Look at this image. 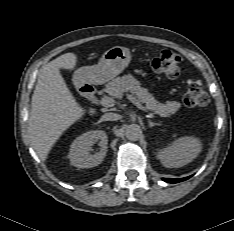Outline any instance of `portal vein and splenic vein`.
<instances>
[{"label":"portal vein and splenic vein","mask_w":234,"mask_h":231,"mask_svg":"<svg viewBox=\"0 0 234 231\" xmlns=\"http://www.w3.org/2000/svg\"><path fill=\"white\" fill-rule=\"evenodd\" d=\"M126 98L132 102L135 106H137L140 110H143L145 112H147V109L142 106V104L132 95L127 94ZM101 105L104 107H112L114 105V100L109 98V97H103L100 101ZM151 116H153L152 114H150Z\"/></svg>","instance_id":"obj_1"}]
</instances>
